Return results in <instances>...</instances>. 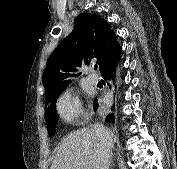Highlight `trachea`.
I'll use <instances>...</instances> for the list:
<instances>
[{"mask_svg":"<svg viewBox=\"0 0 177 169\" xmlns=\"http://www.w3.org/2000/svg\"><path fill=\"white\" fill-rule=\"evenodd\" d=\"M97 68H98V66H97V65H95V66H94V69H97Z\"/></svg>","mask_w":177,"mask_h":169,"instance_id":"trachea-1","label":"trachea"}]
</instances>
